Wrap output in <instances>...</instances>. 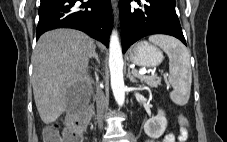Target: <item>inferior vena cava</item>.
<instances>
[{
    "label": "inferior vena cava",
    "mask_w": 227,
    "mask_h": 142,
    "mask_svg": "<svg viewBox=\"0 0 227 142\" xmlns=\"http://www.w3.org/2000/svg\"><path fill=\"white\" fill-rule=\"evenodd\" d=\"M95 99H96V105H97L98 123H99V126L102 127V116L104 114L105 109L108 107V101L101 90H97Z\"/></svg>",
    "instance_id": "inferior-vena-cava-1"
}]
</instances>
